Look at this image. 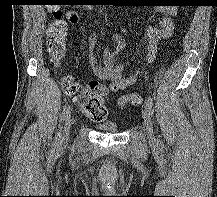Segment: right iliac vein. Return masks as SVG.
I'll list each match as a JSON object with an SVG mask.
<instances>
[{"label":"right iliac vein","instance_id":"1","mask_svg":"<svg viewBox=\"0 0 217 197\" xmlns=\"http://www.w3.org/2000/svg\"><path fill=\"white\" fill-rule=\"evenodd\" d=\"M73 117L69 115L65 121V124L63 126L62 130V135L59 139V145L60 146H65L69 140V135H70V129L73 124Z\"/></svg>","mask_w":217,"mask_h":197}]
</instances>
